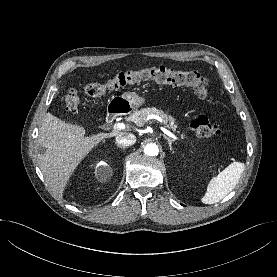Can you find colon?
<instances>
[{"mask_svg":"<svg viewBox=\"0 0 277 277\" xmlns=\"http://www.w3.org/2000/svg\"><path fill=\"white\" fill-rule=\"evenodd\" d=\"M142 81H153L157 84L172 87L190 88L199 98L211 101V89L206 78L195 71H179L163 65H154L141 69L128 70L116 74L104 83H89L84 87L85 93L92 97L101 96L107 91H113L127 85ZM65 108L70 113H76L79 107V96L76 89L68 90L65 99ZM192 131L199 137L211 138L222 134L225 126L222 122H211L201 115L190 123Z\"/></svg>","mask_w":277,"mask_h":277,"instance_id":"1","label":"colon"}]
</instances>
